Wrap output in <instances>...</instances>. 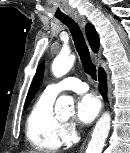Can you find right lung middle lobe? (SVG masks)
I'll return each mask as SVG.
<instances>
[{"mask_svg":"<svg viewBox=\"0 0 130 153\" xmlns=\"http://www.w3.org/2000/svg\"><path fill=\"white\" fill-rule=\"evenodd\" d=\"M30 102L25 103V110L27 109Z\"/></svg>","mask_w":130,"mask_h":153,"instance_id":"obj_1","label":"right lung middle lobe"}]
</instances>
